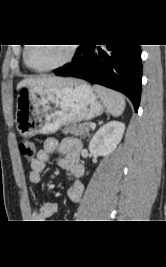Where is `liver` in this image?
<instances>
[{
	"label": "liver",
	"mask_w": 166,
	"mask_h": 267,
	"mask_svg": "<svg viewBox=\"0 0 166 267\" xmlns=\"http://www.w3.org/2000/svg\"><path fill=\"white\" fill-rule=\"evenodd\" d=\"M78 83L74 79L54 77V76H43L37 78H27L20 81L17 85V90L23 87H38V88H50V87H64L72 86Z\"/></svg>",
	"instance_id": "liver-1"
}]
</instances>
